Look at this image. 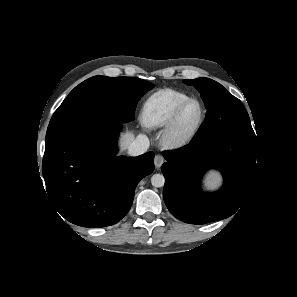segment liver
<instances>
[{"instance_id": "1", "label": "liver", "mask_w": 297, "mask_h": 297, "mask_svg": "<svg viewBox=\"0 0 297 297\" xmlns=\"http://www.w3.org/2000/svg\"><path fill=\"white\" fill-rule=\"evenodd\" d=\"M135 140L134 133L132 131H126L122 134L120 139L121 150L128 149L129 145Z\"/></svg>"}]
</instances>
